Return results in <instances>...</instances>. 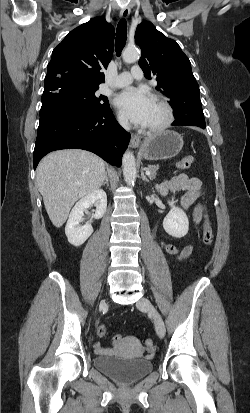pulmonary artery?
<instances>
[{
  "instance_id": "1",
  "label": "pulmonary artery",
  "mask_w": 250,
  "mask_h": 413,
  "mask_svg": "<svg viewBox=\"0 0 250 413\" xmlns=\"http://www.w3.org/2000/svg\"><path fill=\"white\" fill-rule=\"evenodd\" d=\"M141 78H142L141 68L138 66H134L129 72H123L119 74L114 81V86L118 88H122V87H125L131 84L134 79H141Z\"/></svg>"
}]
</instances>
